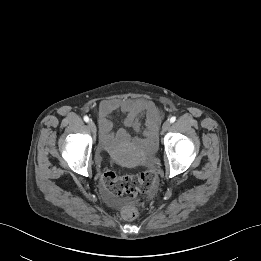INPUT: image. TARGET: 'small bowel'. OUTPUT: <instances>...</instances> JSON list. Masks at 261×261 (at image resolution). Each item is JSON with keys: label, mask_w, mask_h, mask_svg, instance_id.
I'll return each mask as SVG.
<instances>
[{"label": "small bowel", "mask_w": 261, "mask_h": 261, "mask_svg": "<svg viewBox=\"0 0 261 261\" xmlns=\"http://www.w3.org/2000/svg\"><path fill=\"white\" fill-rule=\"evenodd\" d=\"M94 111L98 118L102 137L105 140L112 137L113 123L111 118L119 112L125 114L124 125L135 129L140 127V118L145 116L147 135L154 136L161 122V112L156 105L143 99H106L97 105ZM116 134L124 135V131L120 130Z\"/></svg>", "instance_id": "obj_1"}]
</instances>
